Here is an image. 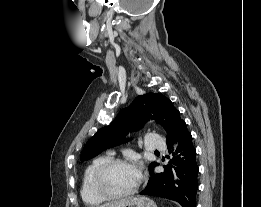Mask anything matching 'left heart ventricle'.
I'll return each mask as SVG.
<instances>
[{"label": "left heart ventricle", "mask_w": 261, "mask_h": 207, "mask_svg": "<svg viewBox=\"0 0 261 207\" xmlns=\"http://www.w3.org/2000/svg\"><path fill=\"white\" fill-rule=\"evenodd\" d=\"M138 180V173L132 165H118L112 168L106 176V186L113 193H123L130 190Z\"/></svg>", "instance_id": "b2bd125f"}]
</instances>
